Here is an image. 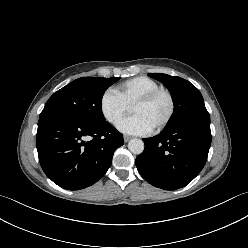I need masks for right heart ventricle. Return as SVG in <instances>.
Instances as JSON below:
<instances>
[{
	"label": "right heart ventricle",
	"instance_id": "obj_1",
	"mask_svg": "<svg viewBox=\"0 0 248 248\" xmlns=\"http://www.w3.org/2000/svg\"><path fill=\"white\" fill-rule=\"evenodd\" d=\"M158 88L160 84L155 80L139 76L117 85L114 91L131 107L139 98Z\"/></svg>",
	"mask_w": 248,
	"mask_h": 248
}]
</instances>
